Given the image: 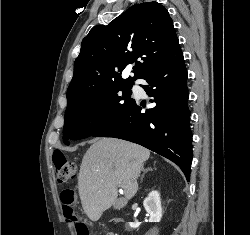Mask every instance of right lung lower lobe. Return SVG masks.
<instances>
[{
	"label": "right lung lower lobe",
	"mask_w": 250,
	"mask_h": 235,
	"mask_svg": "<svg viewBox=\"0 0 250 235\" xmlns=\"http://www.w3.org/2000/svg\"><path fill=\"white\" fill-rule=\"evenodd\" d=\"M141 85L154 98V108L142 113L134 99L94 137H115L138 143L176 163L187 180L192 162V133L187 106V70L177 41L165 60L152 68Z\"/></svg>",
	"instance_id": "right-lung-lower-lobe-1"
}]
</instances>
